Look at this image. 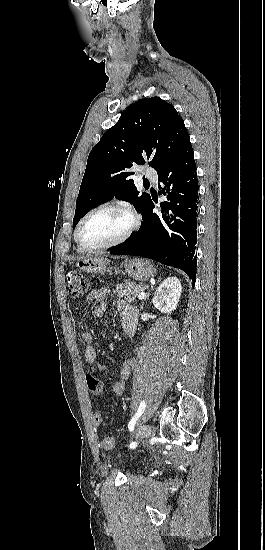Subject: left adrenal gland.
<instances>
[{"label": "left adrenal gland", "mask_w": 265, "mask_h": 550, "mask_svg": "<svg viewBox=\"0 0 265 550\" xmlns=\"http://www.w3.org/2000/svg\"><path fill=\"white\" fill-rule=\"evenodd\" d=\"M151 289H153V287H151ZM148 297H149V293L147 294L146 298H144V300L142 301L141 306H140V310H143L144 301H145Z\"/></svg>", "instance_id": "left-adrenal-gland-1"}]
</instances>
